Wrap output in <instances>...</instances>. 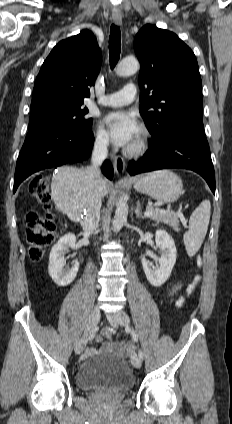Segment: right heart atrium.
Segmentation results:
<instances>
[{
  "instance_id": "obj_1",
  "label": "right heart atrium",
  "mask_w": 232,
  "mask_h": 424,
  "mask_svg": "<svg viewBox=\"0 0 232 424\" xmlns=\"http://www.w3.org/2000/svg\"><path fill=\"white\" fill-rule=\"evenodd\" d=\"M109 146V138L104 129L98 126L94 133V147L100 152L107 151Z\"/></svg>"
}]
</instances>
